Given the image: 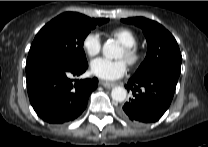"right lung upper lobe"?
Wrapping results in <instances>:
<instances>
[{
	"mask_svg": "<svg viewBox=\"0 0 208 147\" xmlns=\"http://www.w3.org/2000/svg\"><path fill=\"white\" fill-rule=\"evenodd\" d=\"M69 13H73V12H69ZM75 14L80 15V16L86 18V19H89V20H98V19H94V18H89V17H87L85 15H82V14H79V13H75Z\"/></svg>",
	"mask_w": 208,
	"mask_h": 147,
	"instance_id": "1",
	"label": "right lung upper lobe"
}]
</instances>
